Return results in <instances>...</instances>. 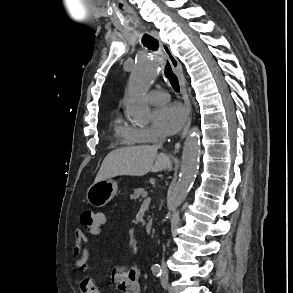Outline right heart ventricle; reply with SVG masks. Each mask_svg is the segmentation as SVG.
Instances as JSON below:
<instances>
[{"instance_id":"obj_1","label":"right heart ventricle","mask_w":293,"mask_h":293,"mask_svg":"<svg viewBox=\"0 0 293 293\" xmlns=\"http://www.w3.org/2000/svg\"><path fill=\"white\" fill-rule=\"evenodd\" d=\"M116 133L121 136L127 144H137L139 140L132 138L130 135V127L122 126L118 124L116 126Z\"/></svg>"}]
</instances>
